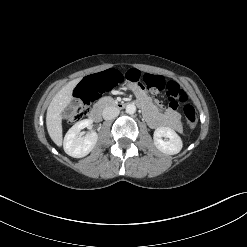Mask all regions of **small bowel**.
<instances>
[{
	"instance_id": "small-bowel-1",
	"label": "small bowel",
	"mask_w": 247,
	"mask_h": 247,
	"mask_svg": "<svg viewBox=\"0 0 247 247\" xmlns=\"http://www.w3.org/2000/svg\"><path fill=\"white\" fill-rule=\"evenodd\" d=\"M130 89L136 95L138 102L141 103L145 119L152 128H169L176 132H182L181 117L174 107L161 112L153 104L143 86L132 84Z\"/></svg>"
}]
</instances>
